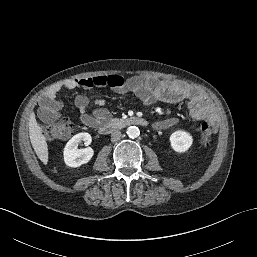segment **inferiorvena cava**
Returning <instances> with one entry per match:
<instances>
[{"mask_svg":"<svg viewBox=\"0 0 257 257\" xmlns=\"http://www.w3.org/2000/svg\"><path fill=\"white\" fill-rule=\"evenodd\" d=\"M121 132L119 131V130H115V131H113L112 132V134H111V141L112 142H117V141H119L120 140V138H121Z\"/></svg>","mask_w":257,"mask_h":257,"instance_id":"1","label":"inferior vena cava"}]
</instances>
